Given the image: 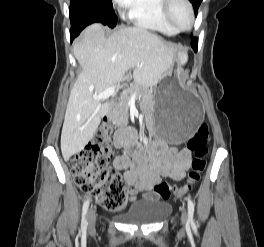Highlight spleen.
Here are the masks:
<instances>
[{"label": "spleen", "mask_w": 264, "mask_h": 247, "mask_svg": "<svg viewBox=\"0 0 264 247\" xmlns=\"http://www.w3.org/2000/svg\"><path fill=\"white\" fill-rule=\"evenodd\" d=\"M178 57L181 64H185L188 61V55L185 52H179Z\"/></svg>", "instance_id": "3e777b00"}]
</instances>
